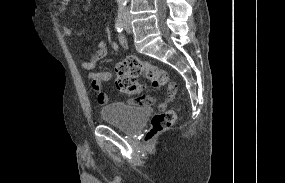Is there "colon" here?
<instances>
[{
  "instance_id": "colon-1",
  "label": "colon",
  "mask_w": 285,
  "mask_h": 183,
  "mask_svg": "<svg viewBox=\"0 0 285 183\" xmlns=\"http://www.w3.org/2000/svg\"><path fill=\"white\" fill-rule=\"evenodd\" d=\"M64 0H61L63 2ZM116 88L128 95H138L141 91V86L137 82V78L141 75L146 76L153 87L159 88L170 82L168 73L148 62L141 61L135 56H128L123 61L115 65ZM138 101L143 104H151L152 98H139ZM162 109L155 114L151 120L150 131L146 136V142L158 133L170 128L176 121V113L173 110H166L164 104H160Z\"/></svg>"
}]
</instances>
